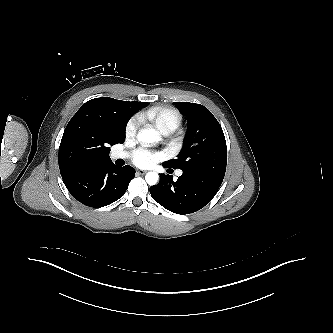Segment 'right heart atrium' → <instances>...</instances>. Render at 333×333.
Wrapping results in <instances>:
<instances>
[{
  "label": "right heart atrium",
  "instance_id": "d8ad5b80",
  "mask_svg": "<svg viewBox=\"0 0 333 333\" xmlns=\"http://www.w3.org/2000/svg\"><path fill=\"white\" fill-rule=\"evenodd\" d=\"M140 122L141 120L138 115H135L128 120L125 127V136L127 139H133L136 136Z\"/></svg>",
  "mask_w": 333,
  "mask_h": 333
}]
</instances>
